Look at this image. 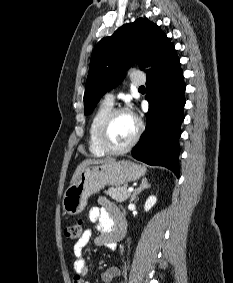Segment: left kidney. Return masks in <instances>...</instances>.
Wrapping results in <instances>:
<instances>
[{"label": "left kidney", "instance_id": "1", "mask_svg": "<svg viewBox=\"0 0 233 283\" xmlns=\"http://www.w3.org/2000/svg\"><path fill=\"white\" fill-rule=\"evenodd\" d=\"M156 197L155 196H150L146 202H145V205H144V209L145 211H149L155 204H156Z\"/></svg>", "mask_w": 233, "mask_h": 283}]
</instances>
